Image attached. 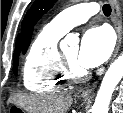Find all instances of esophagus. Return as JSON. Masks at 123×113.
Listing matches in <instances>:
<instances>
[{"mask_svg":"<svg viewBox=\"0 0 123 113\" xmlns=\"http://www.w3.org/2000/svg\"><path fill=\"white\" fill-rule=\"evenodd\" d=\"M110 4L112 7V22H113L114 28L117 32V45H116V49L114 51V56H113V57H116V55L120 49L121 42H122L121 9H120V5L117 0H110ZM95 86H96V84H93L91 87L83 90L82 95L83 96H92Z\"/></svg>","mask_w":123,"mask_h":113,"instance_id":"obj_1","label":"esophagus"}]
</instances>
